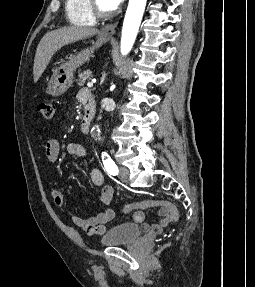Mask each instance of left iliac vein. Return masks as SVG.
<instances>
[{
    "label": "left iliac vein",
    "instance_id": "4c4485c4",
    "mask_svg": "<svg viewBox=\"0 0 255 287\" xmlns=\"http://www.w3.org/2000/svg\"><path fill=\"white\" fill-rule=\"evenodd\" d=\"M119 178L127 183L129 178V170L126 167H120L119 169Z\"/></svg>",
    "mask_w": 255,
    "mask_h": 287
}]
</instances>
